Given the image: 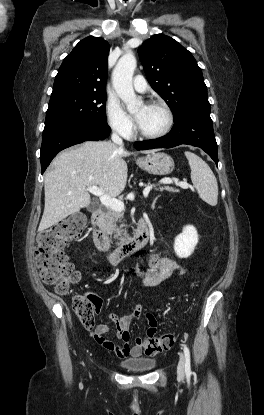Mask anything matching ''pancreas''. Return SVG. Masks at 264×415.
Instances as JSON below:
<instances>
[{
  "instance_id": "1",
  "label": "pancreas",
  "mask_w": 264,
  "mask_h": 415,
  "mask_svg": "<svg viewBox=\"0 0 264 415\" xmlns=\"http://www.w3.org/2000/svg\"><path fill=\"white\" fill-rule=\"evenodd\" d=\"M160 190H167L169 192H178V190L173 189L171 187H161ZM124 214L123 212L114 211L112 209H109L105 222L102 226L103 231L110 237H113L117 240L116 244L121 245L125 241L124 235V225L119 224L123 222Z\"/></svg>"
}]
</instances>
